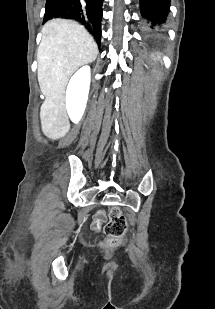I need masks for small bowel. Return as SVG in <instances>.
<instances>
[{"instance_id": "obj_1", "label": "small bowel", "mask_w": 215, "mask_h": 309, "mask_svg": "<svg viewBox=\"0 0 215 309\" xmlns=\"http://www.w3.org/2000/svg\"><path fill=\"white\" fill-rule=\"evenodd\" d=\"M104 220H105V214L103 212H99L96 215L95 222H94V224H96V226H97L95 230L100 229V225Z\"/></svg>"}]
</instances>
